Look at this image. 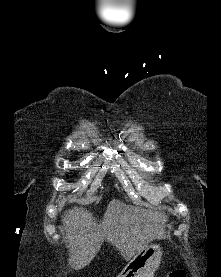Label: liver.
<instances>
[{
	"label": "liver",
	"instance_id": "1",
	"mask_svg": "<svg viewBox=\"0 0 221 277\" xmlns=\"http://www.w3.org/2000/svg\"><path fill=\"white\" fill-rule=\"evenodd\" d=\"M163 212L128 206L112 200L103 220L97 223L92 213L73 207L62 216V232H66L69 247V265L80 270L99 252L104 241L112 244L128 261L152 240L166 238Z\"/></svg>",
	"mask_w": 221,
	"mask_h": 277
}]
</instances>
